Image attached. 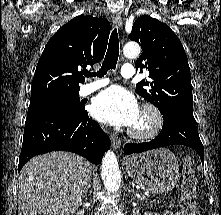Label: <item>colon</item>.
Masks as SVG:
<instances>
[{"label":"colon","mask_w":221,"mask_h":215,"mask_svg":"<svg viewBox=\"0 0 221 215\" xmlns=\"http://www.w3.org/2000/svg\"><path fill=\"white\" fill-rule=\"evenodd\" d=\"M181 190L180 207L182 215H199L195 204L196 177L188 158L184 160L182 165Z\"/></svg>","instance_id":"obj_1"}]
</instances>
